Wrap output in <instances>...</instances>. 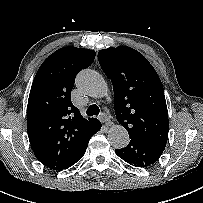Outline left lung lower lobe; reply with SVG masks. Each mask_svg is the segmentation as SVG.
Returning <instances> with one entry per match:
<instances>
[{"instance_id":"1","label":"left lung lower lobe","mask_w":203,"mask_h":203,"mask_svg":"<svg viewBox=\"0 0 203 203\" xmlns=\"http://www.w3.org/2000/svg\"><path fill=\"white\" fill-rule=\"evenodd\" d=\"M127 147L116 149L115 153L135 167H146L155 163L165 148L153 145L140 137L130 136Z\"/></svg>"}]
</instances>
